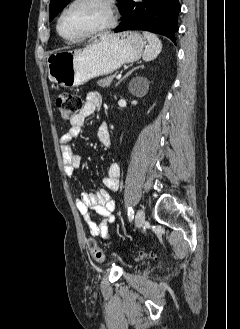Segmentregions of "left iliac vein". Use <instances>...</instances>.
I'll list each match as a JSON object with an SVG mask.
<instances>
[{
  "instance_id": "left-iliac-vein-1",
  "label": "left iliac vein",
  "mask_w": 240,
  "mask_h": 329,
  "mask_svg": "<svg viewBox=\"0 0 240 329\" xmlns=\"http://www.w3.org/2000/svg\"><path fill=\"white\" fill-rule=\"evenodd\" d=\"M145 223V213L142 209H139L135 216V225L137 228H142Z\"/></svg>"
}]
</instances>
